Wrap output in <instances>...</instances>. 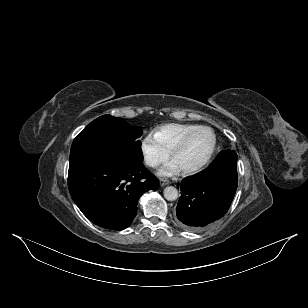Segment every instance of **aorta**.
<instances>
[{
    "instance_id": "aorta-1",
    "label": "aorta",
    "mask_w": 308,
    "mask_h": 308,
    "mask_svg": "<svg viewBox=\"0 0 308 308\" xmlns=\"http://www.w3.org/2000/svg\"><path fill=\"white\" fill-rule=\"evenodd\" d=\"M164 197L168 201H174L178 197V190L173 186H168L164 189Z\"/></svg>"
}]
</instances>
